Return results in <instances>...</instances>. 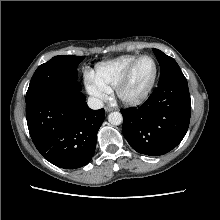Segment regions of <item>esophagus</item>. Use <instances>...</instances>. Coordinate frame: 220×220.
Instances as JSON below:
<instances>
[{
    "instance_id": "1",
    "label": "esophagus",
    "mask_w": 220,
    "mask_h": 220,
    "mask_svg": "<svg viewBox=\"0 0 220 220\" xmlns=\"http://www.w3.org/2000/svg\"><path fill=\"white\" fill-rule=\"evenodd\" d=\"M115 108H113V107H110V106H105V111L106 112H110V111H112V110H114Z\"/></svg>"
}]
</instances>
